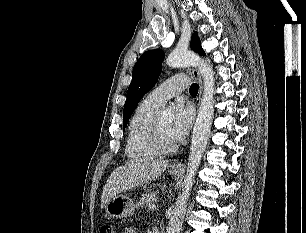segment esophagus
<instances>
[{
    "instance_id": "34e87169",
    "label": "esophagus",
    "mask_w": 306,
    "mask_h": 233,
    "mask_svg": "<svg viewBox=\"0 0 306 233\" xmlns=\"http://www.w3.org/2000/svg\"><path fill=\"white\" fill-rule=\"evenodd\" d=\"M192 75L197 79L198 83H199V95H198V100H200V96H201V93H202V79H201V75L199 73V71L196 69V68H193L192 69ZM183 165L181 164V162H173L171 164V167L172 168H181Z\"/></svg>"
}]
</instances>
